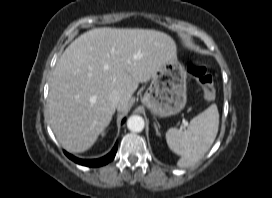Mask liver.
Instances as JSON below:
<instances>
[{"label":"liver","instance_id":"1","mask_svg":"<svg viewBox=\"0 0 272 198\" xmlns=\"http://www.w3.org/2000/svg\"><path fill=\"white\" fill-rule=\"evenodd\" d=\"M177 59L166 33L138 28H95L76 38L59 58L50 82L51 128L62 147L88 150L108 127L116 109L125 111L139 83L165 62ZM118 91L114 106L109 95Z\"/></svg>","mask_w":272,"mask_h":198}]
</instances>
